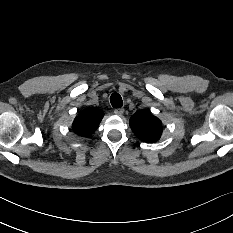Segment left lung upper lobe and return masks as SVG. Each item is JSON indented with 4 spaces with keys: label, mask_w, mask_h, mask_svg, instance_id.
Returning a JSON list of instances; mask_svg holds the SVG:
<instances>
[{
    "label": "left lung upper lobe",
    "mask_w": 233,
    "mask_h": 233,
    "mask_svg": "<svg viewBox=\"0 0 233 233\" xmlns=\"http://www.w3.org/2000/svg\"><path fill=\"white\" fill-rule=\"evenodd\" d=\"M130 127L134 134L144 142H155L162 134L161 121L148 111H138L130 118Z\"/></svg>",
    "instance_id": "1"
}]
</instances>
